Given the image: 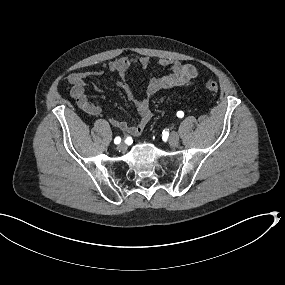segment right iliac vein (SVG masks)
Listing matches in <instances>:
<instances>
[{
	"mask_svg": "<svg viewBox=\"0 0 285 285\" xmlns=\"http://www.w3.org/2000/svg\"><path fill=\"white\" fill-rule=\"evenodd\" d=\"M117 148H118V150L123 151L127 148V145L124 142H121Z\"/></svg>",
	"mask_w": 285,
	"mask_h": 285,
	"instance_id": "right-iliac-vein-1",
	"label": "right iliac vein"
}]
</instances>
